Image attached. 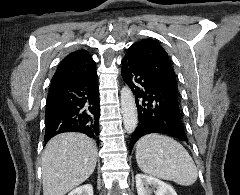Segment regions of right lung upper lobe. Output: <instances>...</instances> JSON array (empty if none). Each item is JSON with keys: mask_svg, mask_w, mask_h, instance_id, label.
Returning a JSON list of instances; mask_svg holds the SVG:
<instances>
[{"mask_svg": "<svg viewBox=\"0 0 240 195\" xmlns=\"http://www.w3.org/2000/svg\"><path fill=\"white\" fill-rule=\"evenodd\" d=\"M96 71V65L89 53L78 50L66 56L58 66L52 82L77 81Z\"/></svg>", "mask_w": 240, "mask_h": 195, "instance_id": "1", "label": "right lung upper lobe"}]
</instances>
